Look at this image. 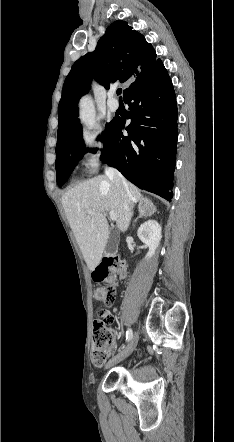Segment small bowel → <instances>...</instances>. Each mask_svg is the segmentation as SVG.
Wrapping results in <instances>:
<instances>
[{
  "label": "small bowel",
  "instance_id": "small-bowel-1",
  "mask_svg": "<svg viewBox=\"0 0 234 442\" xmlns=\"http://www.w3.org/2000/svg\"><path fill=\"white\" fill-rule=\"evenodd\" d=\"M95 328H112L114 325L113 314H102L100 319H95L93 322Z\"/></svg>",
  "mask_w": 234,
  "mask_h": 442
}]
</instances>
